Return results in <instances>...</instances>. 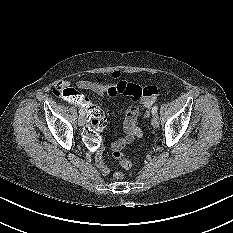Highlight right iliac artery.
Listing matches in <instances>:
<instances>
[{"label": "right iliac artery", "instance_id": "82829eb1", "mask_svg": "<svg viewBox=\"0 0 233 233\" xmlns=\"http://www.w3.org/2000/svg\"><path fill=\"white\" fill-rule=\"evenodd\" d=\"M79 113H80L81 116H84V114H85L82 109L79 110Z\"/></svg>", "mask_w": 233, "mask_h": 233}]
</instances>
